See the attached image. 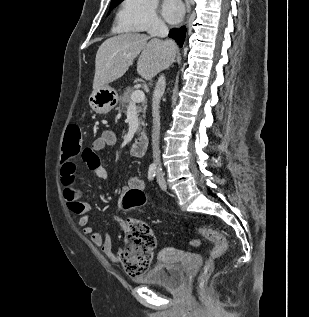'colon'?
<instances>
[{"label":"colon","mask_w":309,"mask_h":317,"mask_svg":"<svg viewBox=\"0 0 309 317\" xmlns=\"http://www.w3.org/2000/svg\"><path fill=\"white\" fill-rule=\"evenodd\" d=\"M82 151V133L80 127L71 124L67 127L63 144V164L70 162ZM146 201L143 191L130 190L123 198L125 209L142 206ZM197 233L213 244L208 260L204 263L198 277V294L204 299L207 295V282L213 271L214 262L227 250L225 236L217 230L199 227ZM125 245L120 252V260L126 272L132 276L142 274L149 268L156 246L155 236L148 224L142 221H131L124 231ZM200 241L193 239L190 245L199 246Z\"/></svg>","instance_id":"colon-1"}]
</instances>
